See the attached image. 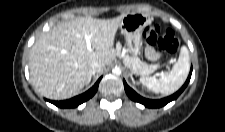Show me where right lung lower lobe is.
I'll list each match as a JSON object with an SVG mask.
<instances>
[{"label": "right lung lower lobe", "mask_w": 225, "mask_h": 132, "mask_svg": "<svg viewBox=\"0 0 225 132\" xmlns=\"http://www.w3.org/2000/svg\"><path fill=\"white\" fill-rule=\"evenodd\" d=\"M100 80L101 78L95 83V85L92 88H90L88 91L79 96L64 101H50V100L48 101L60 108L77 107L78 105L90 99L96 93Z\"/></svg>", "instance_id": "right-lung-lower-lobe-1"}]
</instances>
